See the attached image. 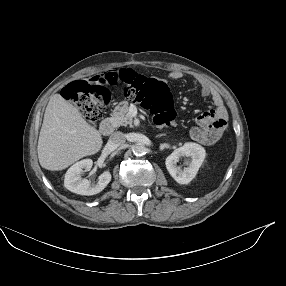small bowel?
<instances>
[{"mask_svg": "<svg viewBox=\"0 0 286 286\" xmlns=\"http://www.w3.org/2000/svg\"><path fill=\"white\" fill-rule=\"evenodd\" d=\"M169 77L173 80H178L183 77V73L180 70H173L169 73ZM200 92L203 97L210 98L212 100V103L214 104L215 108L212 110H209L208 112L210 113H215L218 115L226 124V119H227V112L226 109L224 108L223 105V99L221 95L218 93L216 89H214L209 83L207 82H201L200 83ZM202 113L201 115H204ZM200 116V115H199ZM158 124H162L158 121H156ZM203 144L206 145H213L208 142H202Z\"/></svg>", "mask_w": 286, "mask_h": 286, "instance_id": "c3829d8e", "label": "small bowel"}]
</instances>
